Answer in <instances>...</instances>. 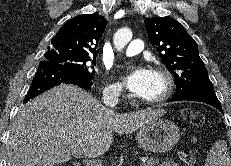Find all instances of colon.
<instances>
[{"instance_id": "colon-1", "label": "colon", "mask_w": 231, "mask_h": 166, "mask_svg": "<svg viewBox=\"0 0 231 166\" xmlns=\"http://www.w3.org/2000/svg\"><path fill=\"white\" fill-rule=\"evenodd\" d=\"M184 117L196 125L202 124L205 121V117L202 113L191 110H185Z\"/></svg>"}]
</instances>
